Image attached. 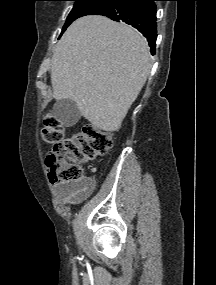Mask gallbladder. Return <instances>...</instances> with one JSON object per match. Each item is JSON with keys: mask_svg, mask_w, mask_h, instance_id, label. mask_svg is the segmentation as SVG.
Wrapping results in <instances>:
<instances>
[{"mask_svg": "<svg viewBox=\"0 0 216 285\" xmlns=\"http://www.w3.org/2000/svg\"><path fill=\"white\" fill-rule=\"evenodd\" d=\"M53 117L66 127L75 125L80 119V110L71 99L58 100L52 111Z\"/></svg>", "mask_w": 216, "mask_h": 285, "instance_id": "1", "label": "gallbladder"}]
</instances>
